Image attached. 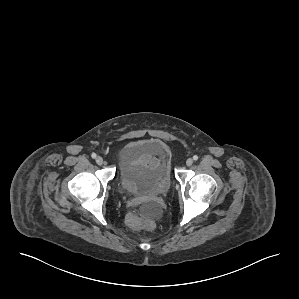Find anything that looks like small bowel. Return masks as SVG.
I'll return each mask as SVG.
<instances>
[{
    "label": "small bowel",
    "mask_w": 299,
    "mask_h": 299,
    "mask_svg": "<svg viewBox=\"0 0 299 299\" xmlns=\"http://www.w3.org/2000/svg\"><path fill=\"white\" fill-rule=\"evenodd\" d=\"M123 185L131 191L136 190L135 185L130 181H123Z\"/></svg>",
    "instance_id": "1"
}]
</instances>
